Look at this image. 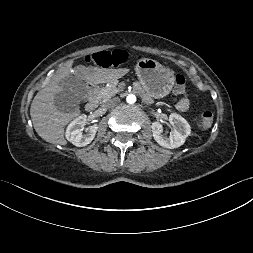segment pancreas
Masks as SVG:
<instances>
[{
	"label": "pancreas",
	"instance_id": "obj_1",
	"mask_svg": "<svg viewBox=\"0 0 253 253\" xmlns=\"http://www.w3.org/2000/svg\"><path fill=\"white\" fill-rule=\"evenodd\" d=\"M121 89L120 86L116 87L115 84H113V82L107 86V87H104L102 88L100 91H99V99L100 100H106L107 98L115 95L117 92H119V90Z\"/></svg>",
	"mask_w": 253,
	"mask_h": 253
}]
</instances>
